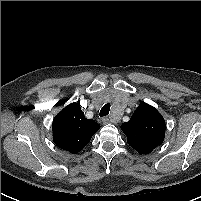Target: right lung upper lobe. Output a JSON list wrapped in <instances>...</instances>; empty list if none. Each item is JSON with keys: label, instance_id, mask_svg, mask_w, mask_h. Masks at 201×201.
Returning <instances> with one entry per match:
<instances>
[{"label": "right lung upper lobe", "instance_id": "1", "mask_svg": "<svg viewBox=\"0 0 201 201\" xmlns=\"http://www.w3.org/2000/svg\"><path fill=\"white\" fill-rule=\"evenodd\" d=\"M55 144L70 153H78L91 140L100 125L84 116L78 103L65 107L53 120Z\"/></svg>", "mask_w": 201, "mask_h": 201}]
</instances>
